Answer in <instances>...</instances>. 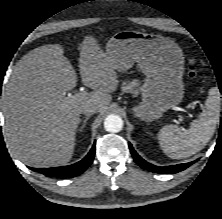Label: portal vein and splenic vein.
I'll return each instance as SVG.
<instances>
[{"mask_svg": "<svg viewBox=\"0 0 222 219\" xmlns=\"http://www.w3.org/2000/svg\"><path fill=\"white\" fill-rule=\"evenodd\" d=\"M85 94V92H82V93H78L77 95H83ZM183 121V117L182 116H179V122H182Z\"/></svg>", "mask_w": 222, "mask_h": 219, "instance_id": "obj_1", "label": "portal vein and splenic vein"}]
</instances>
